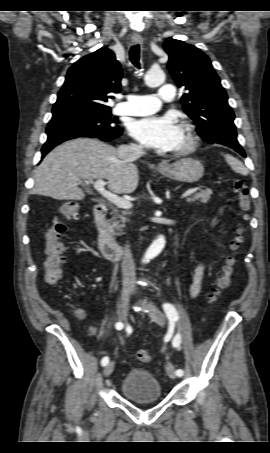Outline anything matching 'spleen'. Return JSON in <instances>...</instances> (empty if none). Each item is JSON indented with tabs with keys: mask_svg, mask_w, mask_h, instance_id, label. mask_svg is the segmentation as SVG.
Segmentation results:
<instances>
[{
	"mask_svg": "<svg viewBox=\"0 0 270 453\" xmlns=\"http://www.w3.org/2000/svg\"><path fill=\"white\" fill-rule=\"evenodd\" d=\"M224 158L226 159L227 163L231 166V168L235 172L242 174V175L247 174L246 168L244 167L242 162H240L238 159L234 158L233 156H231L229 154H225Z\"/></svg>",
	"mask_w": 270,
	"mask_h": 453,
	"instance_id": "spleen-1",
	"label": "spleen"
}]
</instances>
